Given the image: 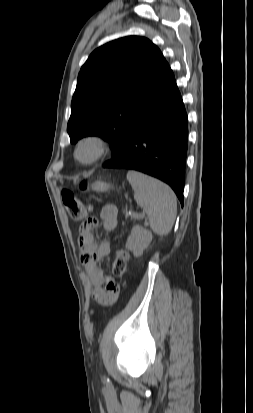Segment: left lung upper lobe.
I'll use <instances>...</instances> for the list:
<instances>
[{"mask_svg":"<svg viewBox=\"0 0 253 413\" xmlns=\"http://www.w3.org/2000/svg\"><path fill=\"white\" fill-rule=\"evenodd\" d=\"M168 68L159 48L144 37H123L93 51L79 72L72 98L70 141L101 136L115 158L127 123Z\"/></svg>","mask_w":253,"mask_h":413,"instance_id":"5c2ea615","label":"left lung upper lobe"}]
</instances>
